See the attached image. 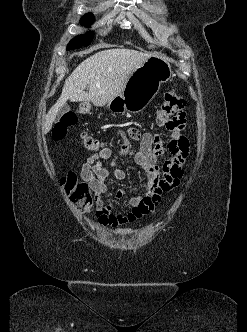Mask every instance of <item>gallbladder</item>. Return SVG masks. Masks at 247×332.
Listing matches in <instances>:
<instances>
[{"instance_id":"obj_1","label":"gallbladder","mask_w":247,"mask_h":332,"mask_svg":"<svg viewBox=\"0 0 247 332\" xmlns=\"http://www.w3.org/2000/svg\"><path fill=\"white\" fill-rule=\"evenodd\" d=\"M70 111V107L67 104H64L58 111L57 118H60L62 115Z\"/></svg>"}]
</instances>
